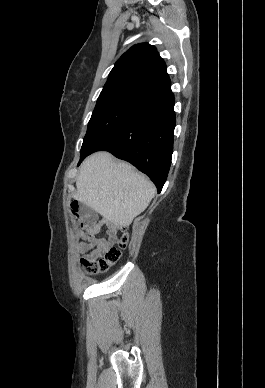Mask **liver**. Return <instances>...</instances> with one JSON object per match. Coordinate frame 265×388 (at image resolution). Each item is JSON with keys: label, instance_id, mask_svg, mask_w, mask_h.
<instances>
[{"label": "liver", "instance_id": "liver-1", "mask_svg": "<svg viewBox=\"0 0 265 388\" xmlns=\"http://www.w3.org/2000/svg\"><path fill=\"white\" fill-rule=\"evenodd\" d=\"M73 198L95 210L118 228H128L148 208L156 188L126 162H116L108 152L84 160Z\"/></svg>", "mask_w": 265, "mask_h": 388}]
</instances>
